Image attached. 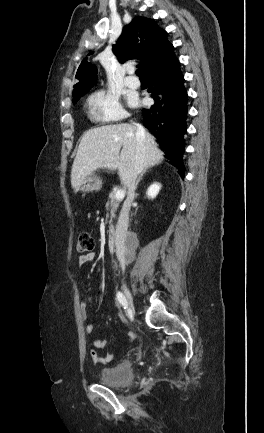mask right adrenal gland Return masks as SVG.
Instances as JSON below:
<instances>
[{"label":"right adrenal gland","instance_id":"obj_1","mask_svg":"<svg viewBox=\"0 0 264 433\" xmlns=\"http://www.w3.org/2000/svg\"><path fill=\"white\" fill-rule=\"evenodd\" d=\"M145 172H146V170H143V171L140 173L139 177L137 178L136 185H135L136 188H137L139 182L142 180V177H143V175L145 174Z\"/></svg>","mask_w":264,"mask_h":433}]
</instances>
